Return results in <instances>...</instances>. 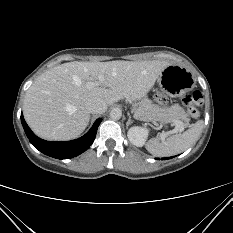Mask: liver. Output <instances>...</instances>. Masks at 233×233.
Here are the masks:
<instances>
[{
    "label": "liver",
    "instance_id": "6515ba94",
    "mask_svg": "<svg viewBox=\"0 0 233 233\" xmlns=\"http://www.w3.org/2000/svg\"><path fill=\"white\" fill-rule=\"evenodd\" d=\"M169 63L161 61L68 62L40 75L27 90L24 118L39 137L64 141L77 138L86 128L90 99L107 106L124 97L141 99L154 86ZM103 76L102 85H93Z\"/></svg>",
    "mask_w": 233,
    "mask_h": 233
}]
</instances>
